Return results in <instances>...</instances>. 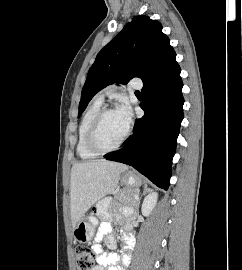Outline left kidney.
<instances>
[{
    "label": "left kidney",
    "mask_w": 242,
    "mask_h": 270,
    "mask_svg": "<svg viewBox=\"0 0 242 270\" xmlns=\"http://www.w3.org/2000/svg\"><path fill=\"white\" fill-rule=\"evenodd\" d=\"M158 193L157 192H151L143 201L142 204V214L144 216H149L152 210L154 209L156 203H157Z\"/></svg>",
    "instance_id": "5707ae66"
}]
</instances>
